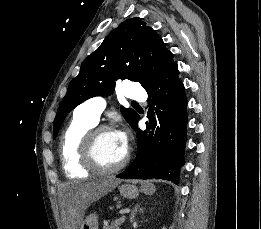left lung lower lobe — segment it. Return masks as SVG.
<instances>
[{
  "mask_svg": "<svg viewBox=\"0 0 261 229\" xmlns=\"http://www.w3.org/2000/svg\"><path fill=\"white\" fill-rule=\"evenodd\" d=\"M177 63L163 72L145 89L152 100L147 130L138 129L136 116L132 128L137 131L138 150L133 163L116 177L121 179H164L176 181L184 165L187 127V100ZM156 105V107H152ZM155 110L157 116L154 117ZM147 132L149 134H147Z\"/></svg>",
  "mask_w": 261,
  "mask_h": 229,
  "instance_id": "1",
  "label": "left lung lower lobe"
}]
</instances>
